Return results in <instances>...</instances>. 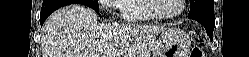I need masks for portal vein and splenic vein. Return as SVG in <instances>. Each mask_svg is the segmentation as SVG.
<instances>
[{
  "instance_id": "1",
  "label": "portal vein and splenic vein",
  "mask_w": 249,
  "mask_h": 57,
  "mask_svg": "<svg viewBox=\"0 0 249 57\" xmlns=\"http://www.w3.org/2000/svg\"><path fill=\"white\" fill-rule=\"evenodd\" d=\"M118 54H122L123 52L121 51V52H117Z\"/></svg>"
}]
</instances>
